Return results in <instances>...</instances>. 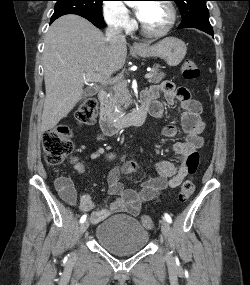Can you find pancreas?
<instances>
[{
	"mask_svg": "<svg viewBox=\"0 0 250 285\" xmlns=\"http://www.w3.org/2000/svg\"><path fill=\"white\" fill-rule=\"evenodd\" d=\"M152 77L148 79L151 84L161 82L165 74L160 72L158 68L154 67L151 70ZM130 98L126 89V82L124 80L118 81L110 92L109 97L104 102V111L115 118L121 113L122 107L126 108L129 105Z\"/></svg>",
	"mask_w": 250,
	"mask_h": 285,
	"instance_id": "1",
	"label": "pancreas"
}]
</instances>
